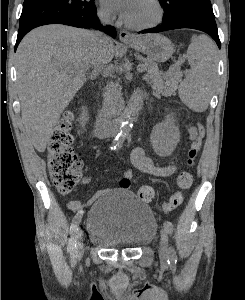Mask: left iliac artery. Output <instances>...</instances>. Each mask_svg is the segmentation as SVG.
<instances>
[{"instance_id": "left-iliac-artery-1", "label": "left iliac artery", "mask_w": 245, "mask_h": 300, "mask_svg": "<svg viewBox=\"0 0 245 300\" xmlns=\"http://www.w3.org/2000/svg\"><path fill=\"white\" fill-rule=\"evenodd\" d=\"M164 225V228H165V231L171 236L172 233H173V224L169 221H165L163 223ZM177 262V256H176V252L174 250V248L171 246L169 248V259H168V263L171 264V265H174L176 264Z\"/></svg>"}]
</instances>
